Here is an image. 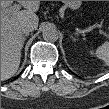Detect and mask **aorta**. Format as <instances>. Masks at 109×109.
I'll list each match as a JSON object with an SVG mask.
<instances>
[{
  "label": "aorta",
  "instance_id": "762f6f07",
  "mask_svg": "<svg viewBox=\"0 0 109 109\" xmlns=\"http://www.w3.org/2000/svg\"><path fill=\"white\" fill-rule=\"evenodd\" d=\"M42 36L46 41L55 42L59 38V33L54 25L47 24L42 30Z\"/></svg>",
  "mask_w": 109,
  "mask_h": 109
}]
</instances>
